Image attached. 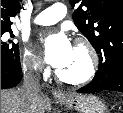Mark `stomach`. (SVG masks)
Wrapping results in <instances>:
<instances>
[{
  "mask_svg": "<svg viewBox=\"0 0 123 113\" xmlns=\"http://www.w3.org/2000/svg\"><path fill=\"white\" fill-rule=\"evenodd\" d=\"M56 98L61 104L79 113H105L106 111L105 103L93 95L68 94Z\"/></svg>",
  "mask_w": 123,
  "mask_h": 113,
  "instance_id": "obj_1",
  "label": "stomach"
}]
</instances>
